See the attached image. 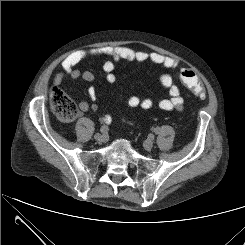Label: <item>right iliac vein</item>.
<instances>
[{"label": "right iliac vein", "mask_w": 245, "mask_h": 245, "mask_svg": "<svg viewBox=\"0 0 245 245\" xmlns=\"http://www.w3.org/2000/svg\"><path fill=\"white\" fill-rule=\"evenodd\" d=\"M94 138L99 143H102L106 140V136L104 134H101V133L95 134Z\"/></svg>", "instance_id": "right-iliac-vein-1"}]
</instances>
